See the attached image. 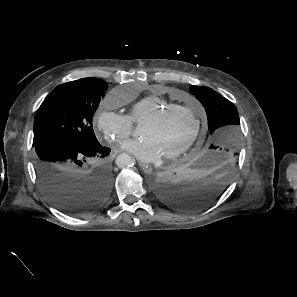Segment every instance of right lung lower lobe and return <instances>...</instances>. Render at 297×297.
<instances>
[{
	"label": "right lung lower lobe",
	"instance_id": "1",
	"mask_svg": "<svg viewBox=\"0 0 297 297\" xmlns=\"http://www.w3.org/2000/svg\"><path fill=\"white\" fill-rule=\"evenodd\" d=\"M35 170L47 198L61 211L84 215L99 209L111 188L112 175L106 164H90L104 158L110 149L67 138H50L33 144Z\"/></svg>",
	"mask_w": 297,
	"mask_h": 297
}]
</instances>
